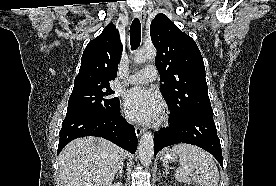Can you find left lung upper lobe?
<instances>
[{"label":"left lung upper lobe","mask_w":276,"mask_h":186,"mask_svg":"<svg viewBox=\"0 0 276 186\" xmlns=\"http://www.w3.org/2000/svg\"><path fill=\"white\" fill-rule=\"evenodd\" d=\"M150 35L157 49L155 65L163 82L160 91L171 117L213 111L203 58L195 41L162 13L152 20Z\"/></svg>","instance_id":"1"}]
</instances>
